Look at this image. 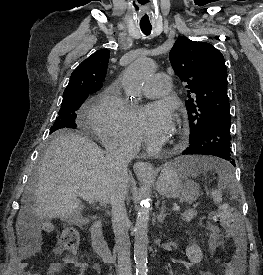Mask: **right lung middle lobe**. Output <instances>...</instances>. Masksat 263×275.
I'll use <instances>...</instances> for the list:
<instances>
[{"instance_id":"dd1d6c3e","label":"right lung middle lobe","mask_w":263,"mask_h":275,"mask_svg":"<svg viewBox=\"0 0 263 275\" xmlns=\"http://www.w3.org/2000/svg\"><path fill=\"white\" fill-rule=\"evenodd\" d=\"M87 96V93L79 92L63 97L58 117L50 129V134L60 129L76 128V111L80 108Z\"/></svg>"}]
</instances>
